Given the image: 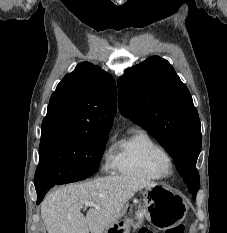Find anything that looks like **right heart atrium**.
Wrapping results in <instances>:
<instances>
[{"label": "right heart atrium", "instance_id": "right-heart-atrium-1", "mask_svg": "<svg viewBox=\"0 0 227 233\" xmlns=\"http://www.w3.org/2000/svg\"><path fill=\"white\" fill-rule=\"evenodd\" d=\"M102 160L104 162L103 168L105 170L109 169L111 167V161H112V155L109 150L105 149L102 152Z\"/></svg>", "mask_w": 227, "mask_h": 233}]
</instances>
